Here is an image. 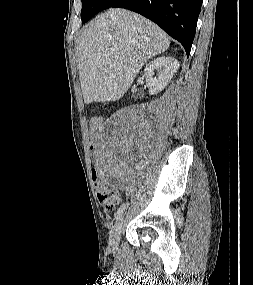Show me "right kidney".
<instances>
[{"mask_svg": "<svg viewBox=\"0 0 253 285\" xmlns=\"http://www.w3.org/2000/svg\"><path fill=\"white\" fill-rule=\"evenodd\" d=\"M178 68L179 63L173 57L161 56L150 61L144 69L149 94L155 95L162 91L169 84ZM155 69L158 70V77H153Z\"/></svg>", "mask_w": 253, "mask_h": 285, "instance_id": "ca27d5eb", "label": "right kidney"}]
</instances>
